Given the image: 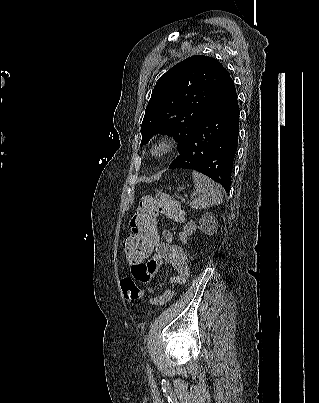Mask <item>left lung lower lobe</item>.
<instances>
[{
  "label": "left lung lower lobe",
  "mask_w": 319,
  "mask_h": 403,
  "mask_svg": "<svg viewBox=\"0 0 319 403\" xmlns=\"http://www.w3.org/2000/svg\"><path fill=\"white\" fill-rule=\"evenodd\" d=\"M238 134L239 106L234 83L229 77L197 124L187 147L169 168L199 171L229 192Z\"/></svg>",
  "instance_id": "obj_1"
}]
</instances>
